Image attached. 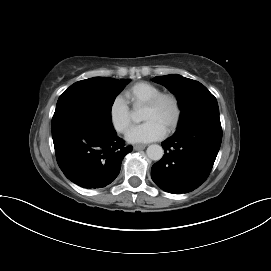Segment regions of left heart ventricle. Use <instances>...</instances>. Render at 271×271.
Returning a JSON list of instances; mask_svg holds the SVG:
<instances>
[{"mask_svg":"<svg viewBox=\"0 0 271 271\" xmlns=\"http://www.w3.org/2000/svg\"><path fill=\"white\" fill-rule=\"evenodd\" d=\"M174 117V107L170 100H162L155 108H143L142 120H154L165 130L169 127Z\"/></svg>","mask_w":271,"mask_h":271,"instance_id":"1","label":"left heart ventricle"}]
</instances>
